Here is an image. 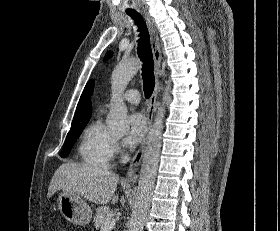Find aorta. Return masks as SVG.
Wrapping results in <instances>:
<instances>
[{"label":"aorta","mask_w":280,"mask_h":231,"mask_svg":"<svg viewBox=\"0 0 280 231\" xmlns=\"http://www.w3.org/2000/svg\"><path fill=\"white\" fill-rule=\"evenodd\" d=\"M140 66V60H127V62H120L118 66H115L112 72L111 108L106 117V123L115 133H126V131H129L130 123L127 116L128 110L124 100H122V94L130 80L136 76ZM169 90H171L170 82H167V86L164 90L165 102H163L162 106H166V104L170 102ZM165 112V108H158L152 129L148 135L135 201L128 223L129 231H143L145 217L151 205L161 151Z\"/></svg>","instance_id":"1"}]
</instances>
